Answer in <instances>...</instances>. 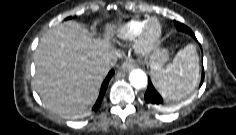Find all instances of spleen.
Here are the masks:
<instances>
[{
    "label": "spleen",
    "instance_id": "3e777b00",
    "mask_svg": "<svg viewBox=\"0 0 236 135\" xmlns=\"http://www.w3.org/2000/svg\"><path fill=\"white\" fill-rule=\"evenodd\" d=\"M152 81L159 93L167 99L186 97L196 87L199 79V57L194 44L181 49L166 67L151 69Z\"/></svg>",
    "mask_w": 236,
    "mask_h": 135
}]
</instances>
